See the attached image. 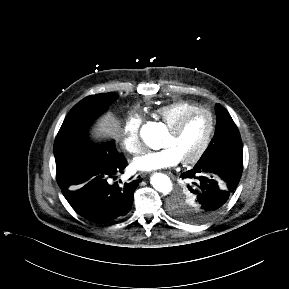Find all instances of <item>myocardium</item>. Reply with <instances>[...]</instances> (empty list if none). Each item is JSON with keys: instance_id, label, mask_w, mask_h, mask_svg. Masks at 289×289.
I'll use <instances>...</instances> for the list:
<instances>
[{"instance_id": "myocardium-1", "label": "myocardium", "mask_w": 289, "mask_h": 289, "mask_svg": "<svg viewBox=\"0 0 289 289\" xmlns=\"http://www.w3.org/2000/svg\"><path fill=\"white\" fill-rule=\"evenodd\" d=\"M198 113H206L209 116L210 122H211L210 130H209V133H208L205 141L203 142L201 147L198 149V151L194 155H192L191 157L181 160V162L185 165L195 164L196 162H198L204 156V154L206 153V151L210 147L211 142H212L214 135H215V132H216V124H217L216 123V117L211 110L204 108V107H198V108L192 109L190 111H187L173 125L168 127L169 132L176 135V134L181 132V130L184 128L187 121L192 116H194L195 114H198Z\"/></svg>"}]
</instances>
